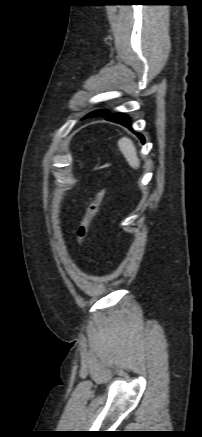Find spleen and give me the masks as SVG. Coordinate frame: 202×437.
Returning <instances> with one entry per match:
<instances>
[{
	"mask_svg": "<svg viewBox=\"0 0 202 437\" xmlns=\"http://www.w3.org/2000/svg\"><path fill=\"white\" fill-rule=\"evenodd\" d=\"M118 147L129 165L134 169H138L140 167V160L137 156L136 147L133 142L127 137H122L118 141Z\"/></svg>",
	"mask_w": 202,
	"mask_h": 437,
	"instance_id": "obj_1",
	"label": "spleen"
}]
</instances>
